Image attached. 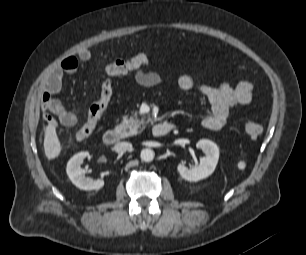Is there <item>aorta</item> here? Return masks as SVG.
Listing matches in <instances>:
<instances>
[{
    "label": "aorta",
    "mask_w": 306,
    "mask_h": 255,
    "mask_svg": "<svg viewBox=\"0 0 306 255\" xmlns=\"http://www.w3.org/2000/svg\"><path fill=\"white\" fill-rule=\"evenodd\" d=\"M154 151L151 149H143L140 153L141 160L144 162H150L154 159Z\"/></svg>",
    "instance_id": "obj_1"
}]
</instances>
